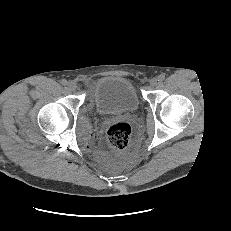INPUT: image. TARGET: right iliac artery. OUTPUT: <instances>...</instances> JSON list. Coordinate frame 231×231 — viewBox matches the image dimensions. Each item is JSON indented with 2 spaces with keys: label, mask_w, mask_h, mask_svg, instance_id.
Instances as JSON below:
<instances>
[{
  "label": "right iliac artery",
  "mask_w": 231,
  "mask_h": 231,
  "mask_svg": "<svg viewBox=\"0 0 231 231\" xmlns=\"http://www.w3.org/2000/svg\"><path fill=\"white\" fill-rule=\"evenodd\" d=\"M60 83L62 84V85H67V80H65V79H62L61 81H60Z\"/></svg>",
  "instance_id": "obj_1"
}]
</instances>
